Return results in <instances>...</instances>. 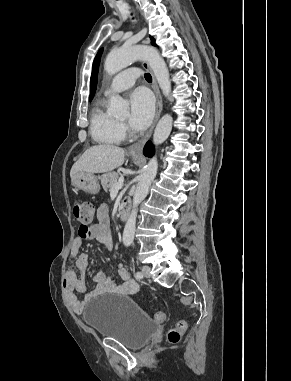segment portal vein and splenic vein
I'll return each instance as SVG.
<instances>
[{
  "instance_id": "1",
  "label": "portal vein and splenic vein",
  "mask_w": 291,
  "mask_h": 381,
  "mask_svg": "<svg viewBox=\"0 0 291 381\" xmlns=\"http://www.w3.org/2000/svg\"><path fill=\"white\" fill-rule=\"evenodd\" d=\"M123 187V178L121 177L117 183L113 186L111 192H118Z\"/></svg>"
}]
</instances>
